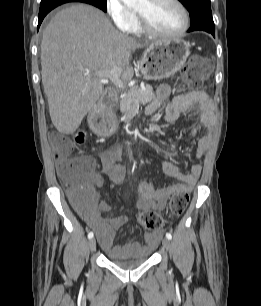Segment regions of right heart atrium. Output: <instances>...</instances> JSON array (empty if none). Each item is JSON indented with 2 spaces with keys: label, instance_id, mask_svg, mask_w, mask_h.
Listing matches in <instances>:
<instances>
[{
  "label": "right heart atrium",
  "instance_id": "d8ad5b80",
  "mask_svg": "<svg viewBox=\"0 0 261 306\" xmlns=\"http://www.w3.org/2000/svg\"><path fill=\"white\" fill-rule=\"evenodd\" d=\"M105 7L117 29L124 32L130 30L135 20V15L122 0H105Z\"/></svg>",
  "mask_w": 261,
  "mask_h": 306
}]
</instances>
